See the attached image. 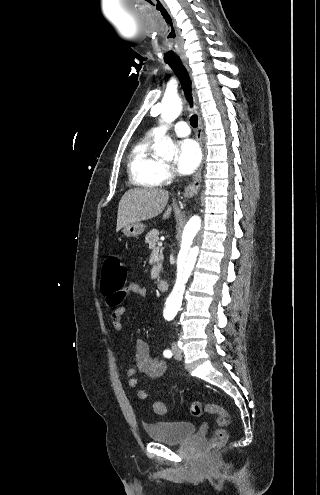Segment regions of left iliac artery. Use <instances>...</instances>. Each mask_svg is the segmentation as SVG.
I'll return each mask as SVG.
<instances>
[{
  "instance_id": "1",
  "label": "left iliac artery",
  "mask_w": 320,
  "mask_h": 495,
  "mask_svg": "<svg viewBox=\"0 0 320 495\" xmlns=\"http://www.w3.org/2000/svg\"><path fill=\"white\" fill-rule=\"evenodd\" d=\"M164 356L167 357V358H170L172 356V353L170 350L166 349L164 352H163Z\"/></svg>"
}]
</instances>
